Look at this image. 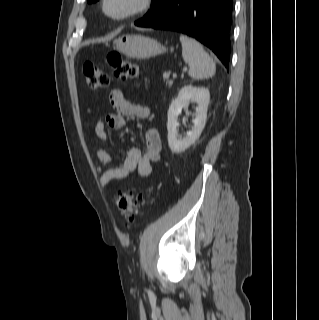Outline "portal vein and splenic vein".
Returning <instances> with one entry per match:
<instances>
[{
    "label": "portal vein and splenic vein",
    "mask_w": 319,
    "mask_h": 320,
    "mask_svg": "<svg viewBox=\"0 0 319 320\" xmlns=\"http://www.w3.org/2000/svg\"><path fill=\"white\" fill-rule=\"evenodd\" d=\"M169 76H170V74H169V73H167V72H164V73H163V78L168 79V78H169Z\"/></svg>",
    "instance_id": "obj_1"
}]
</instances>
